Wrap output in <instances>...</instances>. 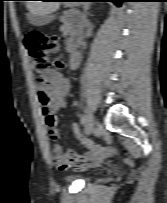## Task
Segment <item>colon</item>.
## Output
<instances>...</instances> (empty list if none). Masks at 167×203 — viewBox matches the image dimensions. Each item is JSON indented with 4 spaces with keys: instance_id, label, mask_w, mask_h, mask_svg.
Segmentation results:
<instances>
[{
    "instance_id": "colon-1",
    "label": "colon",
    "mask_w": 167,
    "mask_h": 203,
    "mask_svg": "<svg viewBox=\"0 0 167 203\" xmlns=\"http://www.w3.org/2000/svg\"><path fill=\"white\" fill-rule=\"evenodd\" d=\"M24 45L36 72L44 73L52 68H62L64 66L57 38L31 32L26 36ZM52 55L56 56L52 58ZM38 89L42 103L47 104L50 99L48 91L43 85H39Z\"/></svg>"
}]
</instances>
